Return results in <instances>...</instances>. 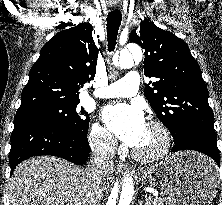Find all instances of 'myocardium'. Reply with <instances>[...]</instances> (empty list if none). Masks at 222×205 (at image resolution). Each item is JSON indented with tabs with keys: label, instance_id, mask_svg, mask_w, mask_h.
<instances>
[{
	"label": "myocardium",
	"instance_id": "1",
	"mask_svg": "<svg viewBox=\"0 0 222 205\" xmlns=\"http://www.w3.org/2000/svg\"><path fill=\"white\" fill-rule=\"evenodd\" d=\"M148 125L155 128L161 134L162 143L156 151L149 154H143L133 149V158L142 163H152L164 158L168 154L172 144L170 131L162 122L151 120Z\"/></svg>",
	"mask_w": 222,
	"mask_h": 205
}]
</instances>
